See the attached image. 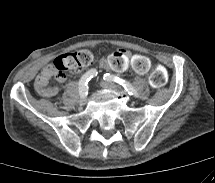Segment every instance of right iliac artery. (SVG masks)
I'll return each mask as SVG.
<instances>
[{
    "label": "right iliac artery",
    "instance_id": "1",
    "mask_svg": "<svg viewBox=\"0 0 215 183\" xmlns=\"http://www.w3.org/2000/svg\"><path fill=\"white\" fill-rule=\"evenodd\" d=\"M97 74H98V72L96 69H90L81 77V79L79 81V94H80V96L87 95V93H88L87 83L90 81V79L97 76Z\"/></svg>",
    "mask_w": 215,
    "mask_h": 183
}]
</instances>
